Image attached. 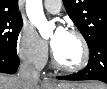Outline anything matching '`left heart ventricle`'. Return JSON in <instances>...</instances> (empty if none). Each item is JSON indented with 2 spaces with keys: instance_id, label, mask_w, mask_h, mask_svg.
<instances>
[{
  "instance_id": "1",
  "label": "left heart ventricle",
  "mask_w": 107,
  "mask_h": 89,
  "mask_svg": "<svg viewBox=\"0 0 107 89\" xmlns=\"http://www.w3.org/2000/svg\"><path fill=\"white\" fill-rule=\"evenodd\" d=\"M55 32L52 33L51 39ZM57 59L64 65L74 66L82 58V48L78 39L66 32L61 38L59 44L54 49Z\"/></svg>"
}]
</instances>
